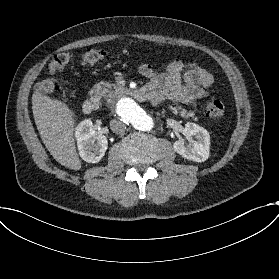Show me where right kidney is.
<instances>
[{
  "label": "right kidney",
  "mask_w": 279,
  "mask_h": 279,
  "mask_svg": "<svg viewBox=\"0 0 279 279\" xmlns=\"http://www.w3.org/2000/svg\"><path fill=\"white\" fill-rule=\"evenodd\" d=\"M80 157L88 163H98L108 147L106 136L97 135L90 119L81 121L75 129Z\"/></svg>",
  "instance_id": "1"
}]
</instances>
